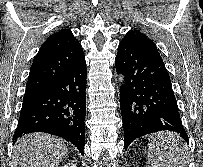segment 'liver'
Masks as SVG:
<instances>
[{"mask_svg": "<svg viewBox=\"0 0 203 167\" xmlns=\"http://www.w3.org/2000/svg\"><path fill=\"white\" fill-rule=\"evenodd\" d=\"M164 134L154 135L160 139ZM63 140L45 133H32L17 140L13 150L15 167H58L67 156Z\"/></svg>", "mask_w": 203, "mask_h": 167, "instance_id": "1", "label": "liver"}]
</instances>
